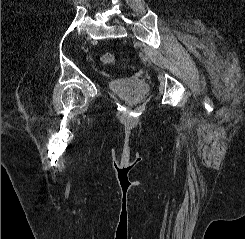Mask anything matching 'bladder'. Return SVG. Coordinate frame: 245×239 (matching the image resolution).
I'll list each match as a JSON object with an SVG mask.
<instances>
[{
    "label": "bladder",
    "instance_id": "31cf9c89",
    "mask_svg": "<svg viewBox=\"0 0 245 239\" xmlns=\"http://www.w3.org/2000/svg\"><path fill=\"white\" fill-rule=\"evenodd\" d=\"M109 88L112 92L128 97L133 101L144 99L150 91V86L137 82L133 77L111 81Z\"/></svg>",
    "mask_w": 245,
    "mask_h": 239
}]
</instances>
